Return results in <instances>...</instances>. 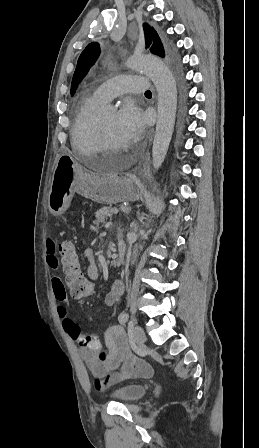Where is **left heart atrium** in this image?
<instances>
[{"mask_svg": "<svg viewBox=\"0 0 259 448\" xmlns=\"http://www.w3.org/2000/svg\"><path fill=\"white\" fill-rule=\"evenodd\" d=\"M117 125L127 137L138 139L145 128L142 110L134 102L126 101L117 114Z\"/></svg>", "mask_w": 259, "mask_h": 448, "instance_id": "obj_1", "label": "left heart atrium"}]
</instances>
